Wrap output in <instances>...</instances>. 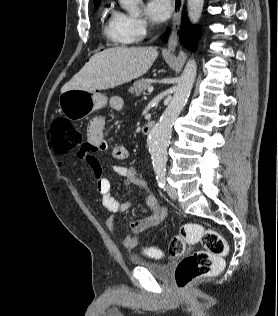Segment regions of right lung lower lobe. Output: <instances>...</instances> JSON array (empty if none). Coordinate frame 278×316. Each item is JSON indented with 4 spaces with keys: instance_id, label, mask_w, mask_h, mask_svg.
<instances>
[{
    "instance_id": "obj_1",
    "label": "right lung lower lobe",
    "mask_w": 278,
    "mask_h": 316,
    "mask_svg": "<svg viewBox=\"0 0 278 316\" xmlns=\"http://www.w3.org/2000/svg\"><path fill=\"white\" fill-rule=\"evenodd\" d=\"M168 34H169V31H167V32H166V34L164 35V38H163V39H164V41H166V40H167V36H168Z\"/></svg>"
}]
</instances>
